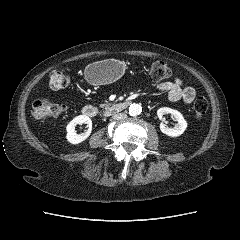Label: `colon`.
Returning <instances> with one entry per match:
<instances>
[{"mask_svg":"<svg viewBox=\"0 0 240 240\" xmlns=\"http://www.w3.org/2000/svg\"><path fill=\"white\" fill-rule=\"evenodd\" d=\"M150 78L160 81L171 75L170 68L163 61L154 62L149 69ZM69 84V76L64 68H56L50 74V86L53 89H62ZM208 109V102L202 95L197 96L193 105L194 117L201 119ZM64 106L53 100L44 98L38 99L33 104V115L36 118H55L62 114Z\"/></svg>","mask_w":240,"mask_h":240,"instance_id":"5ec220e1","label":"colon"}]
</instances>
